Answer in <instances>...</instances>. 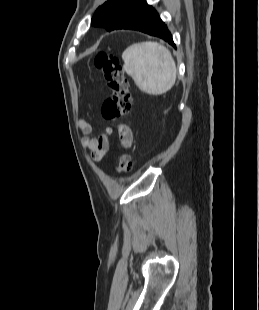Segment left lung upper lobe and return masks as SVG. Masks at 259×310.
<instances>
[{
	"label": "left lung upper lobe",
	"instance_id": "obj_1",
	"mask_svg": "<svg viewBox=\"0 0 259 310\" xmlns=\"http://www.w3.org/2000/svg\"><path fill=\"white\" fill-rule=\"evenodd\" d=\"M146 4L145 0H108L92 17V25L112 31L131 10Z\"/></svg>",
	"mask_w": 259,
	"mask_h": 310
}]
</instances>
